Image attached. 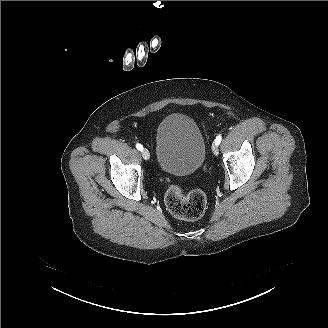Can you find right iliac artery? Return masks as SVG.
Segmentation results:
<instances>
[{
    "label": "right iliac artery",
    "instance_id": "obj_1",
    "mask_svg": "<svg viewBox=\"0 0 328 328\" xmlns=\"http://www.w3.org/2000/svg\"><path fill=\"white\" fill-rule=\"evenodd\" d=\"M136 148L139 150V151H142L143 149V146L141 144H136Z\"/></svg>",
    "mask_w": 328,
    "mask_h": 328
}]
</instances>
